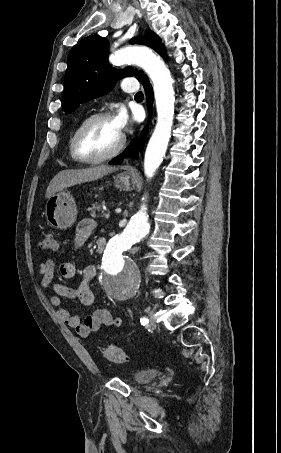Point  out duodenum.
<instances>
[{
	"mask_svg": "<svg viewBox=\"0 0 281 453\" xmlns=\"http://www.w3.org/2000/svg\"><path fill=\"white\" fill-rule=\"evenodd\" d=\"M105 247H106V240L103 238L98 239L97 243H96L97 252L102 253L105 250Z\"/></svg>",
	"mask_w": 281,
	"mask_h": 453,
	"instance_id": "duodenum-1",
	"label": "duodenum"
}]
</instances>
